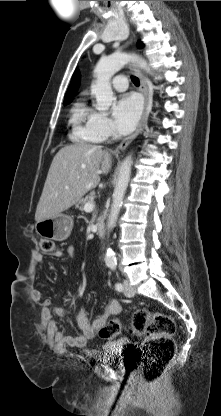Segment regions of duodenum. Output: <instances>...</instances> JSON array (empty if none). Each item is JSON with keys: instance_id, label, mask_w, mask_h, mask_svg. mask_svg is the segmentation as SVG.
Wrapping results in <instances>:
<instances>
[{"instance_id": "410a0bca", "label": "duodenum", "mask_w": 221, "mask_h": 416, "mask_svg": "<svg viewBox=\"0 0 221 416\" xmlns=\"http://www.w3.org/2000/svg\"><path fill=\"white\" fill-rule=\"evenodd\" d=\"M106 232V226L103 220L97 221L96 234L98 237H103Z\"/></svg>"}]
</instances>
